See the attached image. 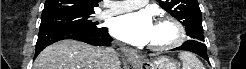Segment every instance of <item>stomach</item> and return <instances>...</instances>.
<instances>
[{
	"mask_svg": "<svg viewBox=\"0 0 246 69\" xmlns=\"http://www.w3.org/2000/svg\"><path fill=\"white\" fill-rule=\"evenodd\" d=\"M134 69H179L168 57H158L153 61L144 60L141 63H132Z\"/></svg>",
	"mask_w": 246,
	"mask_h": 69,
	"instance_id": "stomach-1",
	"label": "stomach"
}]
</instances>
